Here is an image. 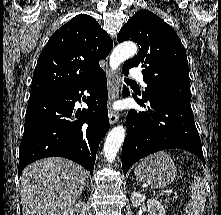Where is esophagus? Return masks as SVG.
Listing matches in <instances>:
<instances>
[{
  "mask_svg": "<svg viewBox=\"0 0 221 215\" xmlns=\"http://www.w3.org/2000/svg\"><path fill=\"white\" fill-rule=\"evenodd\" d=\"M107 79H108V96H109V103H110L109 121H110V124L113 125L118 122L119 115L115 110L112 109L111 104L115 99L118 98L119 88L113 81L111 73L108 70H107Z\"/></svg>",
  "mask_w": 221,
  "mask_h": 215,
  "instance_id": "esophagus-1",
  "label": "esophagus"
}]
</instances>
